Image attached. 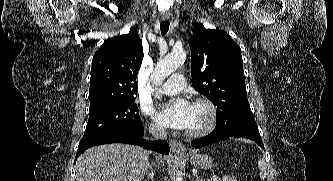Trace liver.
I'll return each instance as SVG.
<instances>
[{"label":"liver","instance_id":"obj_1","mask_svg":"<svg viewBox=\"0 0 333 181\" xmlns=\"http://www.w3.org/2000/svg\"><path fill=\"white\" fill-rule=\"evenodd\" d=\"M149 154L148 150L127 144L89 148L77 160V181H142ZM157 160L162 163L160 157Z\"/></svg>","mask_w":333,"mask_h":181}]
</instances>
